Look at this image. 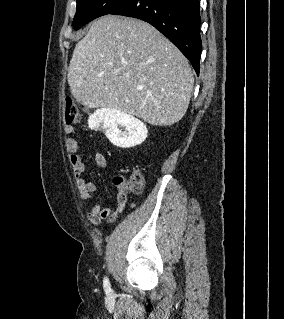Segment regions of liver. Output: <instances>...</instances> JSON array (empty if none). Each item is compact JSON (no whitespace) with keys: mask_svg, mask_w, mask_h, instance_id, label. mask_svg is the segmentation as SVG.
I'll use <instances>...</instances> for the list:
<instances>
[{"mask_svg":"<svg viewBox=\"0 0 284 319\" xmlns=\"http://www.w3.org/2000/svg\"><path fill=\"white\" fill-rule=\"evenodd\" d=\"M67 79L82 105L159 126L182 119L194 84L188 60L172 42L144 21L114 15L95 21L76 44Z\"/></svg>","mask_w":284,"mask_h":319,"instance_id":"6515ba94","label":"liver"}]
</instances>
